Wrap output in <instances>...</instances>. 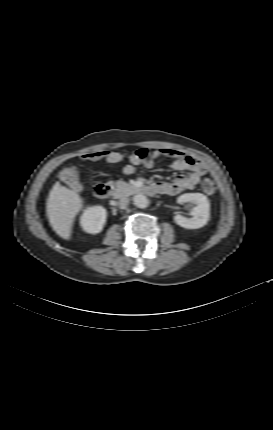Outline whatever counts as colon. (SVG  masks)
Returning a JSON list of instances; mask_svg holds the SVG:
<instances>
[{"mask_svg": "<svg viewBox=\"0 0 273 430\" xmlns=\"http://www.w3.org/2000/svg\"><path fill=\"white\" fill-rule=\"evenodd\" d=\"M61 180L70 188L79 190L81 182L79 180L78 171L74 166H68L60 172ZM203 191L209 195L216 192L217 186L215 182L210 179H205L202 183Z\"/></svg>", "mask_w": 273, "mask_h": 430, "instance_id": "obj_1", "label": "colon"}]
</instances>
